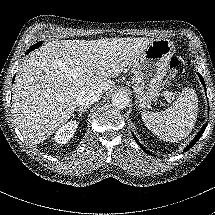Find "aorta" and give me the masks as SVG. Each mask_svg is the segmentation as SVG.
Returning a JSON list of instances; mask_svg holds the SVG:
<instances>
[{
	"instance_id": "aorta-1",
	"label": "aorta",
	"mask_w": 215,
	"mask_h": 215,
	"mask_svg": "<svg viewBox=\"0 0 215 215\" xmlns=\"http://www.w3.org/2000/svg\"><path fill=\"white\" fill-rule=\"evenodd\" d=\"M112 105L117 108L124 109L128 106L130 99L129 96L125 92H116L112 96Z\"/></svg>"
}]
</instances>
